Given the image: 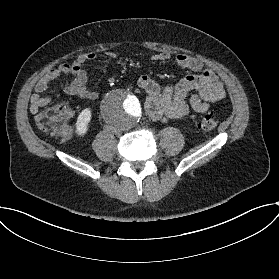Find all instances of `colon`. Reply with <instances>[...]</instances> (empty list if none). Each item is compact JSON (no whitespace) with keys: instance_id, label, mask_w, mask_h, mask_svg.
<instances>
[{"instance_id":"5ec220e1","label":"colon","mask_w":279,"mask_h":279,"mask_svg":"<svg viewBox=\"0 0 279 279\" xmlns=\"http://www.w3.org/2000/svg\"><path fill=\"white\" fill-rule=\"evenodd\" d=\"M72 116L73 109L69 104L58 103L38 112L35 115V121L38 129L43 133L65 139L72 134V129L68 125ZM217 124V115L208 113L202 117L199 127L203 132H206L213 130Z\"/></svg>"}]
</instances>
